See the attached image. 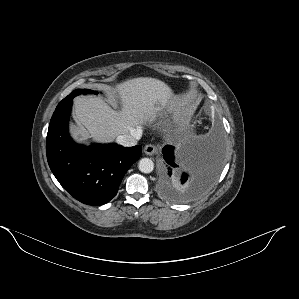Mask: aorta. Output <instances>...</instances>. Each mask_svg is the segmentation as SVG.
<instances>
[{
    "instance_id": "aorta-1",
    "label": "aorta",
    "mask_w": 299,
    "mask_h": 299,
    "mask_svg": "<svg viewBox=\"0 0 299 299\" xmlns=\"http://www.w3.org/2000/svg\"><path fill=\"white\" fill-rule=\"evenodd\" d=\"M138 168L143 173H151L154 169V163L149 158H142L138 163Z\"/></svg>"
}]
</instances>
